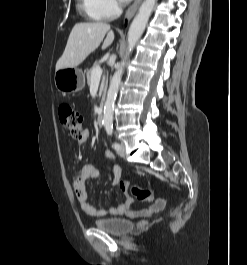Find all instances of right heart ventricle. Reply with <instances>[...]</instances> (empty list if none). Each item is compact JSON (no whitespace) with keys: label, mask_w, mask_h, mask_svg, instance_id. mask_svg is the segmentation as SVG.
<instances>
[{"label":"right heart ventricle","mask_w":247,"mask_h":265,"mask_svg":"<svg viewBox=\"0 0 247 265\" xmlns=\"http://www.w3.org/2000/svg\"><path fill=\"white\" fill-rule=\"evenodd\" d=\"M81 1H82V3H83V9H84L85 12L88 14V16H89L90 18H92V19L99 20L100 18L93 16V15L90 14L89 11L87 10V7H86V0H81ZM102 20H104V19H102Z\"/></svg>","instance_id":"right-heart-ventricle-1"}]
</instances>
